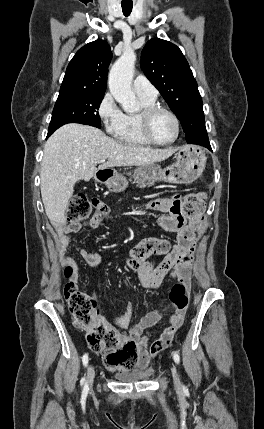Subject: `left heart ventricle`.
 Here are the masks:
<instances>
[{
    "label": "left heart ventricle",
    "mask_w": 264,
    "mask_h": 429,
    "mask_svg": "<svg viewBox=\"0 0 264 429\" xmlns=\"http://www.w3.org/2000/svg\"><path fill=\"white\" fill-rule=\"evenodd\" d=\"M151 132L154 138L160 142L170 141L176 133L175 123L169 115L158 113L152 119Z\"/></svg>",
    "instance_id": "1"
}]
</instances>
